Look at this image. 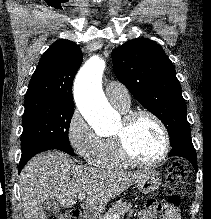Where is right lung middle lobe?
Instances as JSON below:
<instances>
[{"instance_id":"right-lung-middle-lobe-1","label":"right lung middle lobe","mask_w":211,"mask_h":219,"mask_svg":"<svg viewBox=\"0 0 211 219\" xmlns=\"http://www.w3.org/2000/svg\"><path fill=\"white\" fill-rule=\"evenodd\" d=\"M24 106L22 156L43 148L74 155L68 138L74 106L47 100L25 102Z\"/></svg>"}]
</instances>
